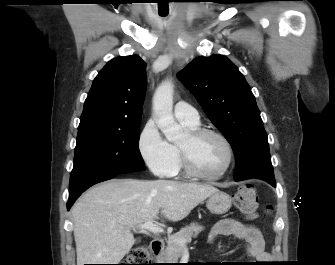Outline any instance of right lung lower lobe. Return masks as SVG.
<instances>
[{
    "label": "right lung lower lobe",
    "instance_id": "obj_1",
    "mask_svg": "<svg viewBox=\"0 0 335 265\" xmlns=\"http://www.w3.org/2000/svg\"><path fill=\"white\" fill-rule=\"evenodd\" d=\"M116 175V173H98L88 176L77 183L73 184L69 190V199L67 202V210L71 208L76 199L89 187L92 185L111 179Z\"/></svg>",
    "mask_w": 335,
    "mask_h": 265
}]
</instances>
